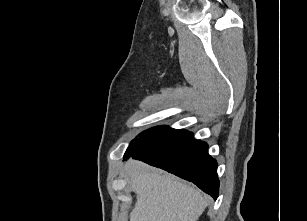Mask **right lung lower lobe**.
Returning a JSON list of instances; mask_svg holds the SVG:
<instances>
[{"mask_svg": "<svg viewBox=\"0 0 307 221\" xmlns=\"http://www.w3.org/2000/svg\"><path fill=\"white\" fill-rule=\"evenodd\" d=\"M150 165L162 168L196 184L201 190L218 197L217 162L208 154L205 142L193 138L191 132L145 150L126 152Z\"/></svg>", "mask_w": 307, "mask_h": 221, "instance_id": "right-lung-lower-lobe-1", "label": "right lung lower lobe"}]
</instances>
